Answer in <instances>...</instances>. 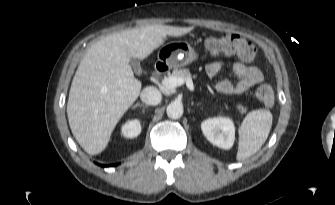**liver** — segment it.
Masks as SVG:
<instances>
[{
    "instance_id": "6515ba94",
    "label": "liver",
    "mask_w": 335,
    "mask_h": 205,
    "mask_svg": "<svg viewBox=\"0 0 335 205\" xmlns=\"http://www.w3.org/2000/svg\"><path fill=\"white\" fill-rule=\"evenodd\" d=\"M193 27L161 24L108 35L84 55L73 77L67 102L71 131L90 155L101 153L125 112L138 98L142 84L134 77L130 59L144 60L164 43Z\"/></svg>"
}]
</instances>
